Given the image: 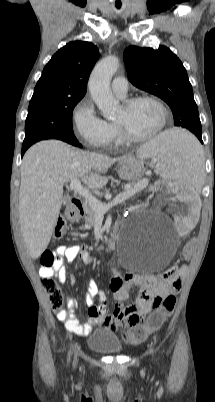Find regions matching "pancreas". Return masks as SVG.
<instances>
[{"mask_svg": "<svg viewBox=\"0 0 215 402\" xmlns=\"http://www.w3.org/2000/svg\"><path fill=\"white\" fill-rule=\"evenodd\" d=\"M138 183H139V182H132V183H130V184H129L130 189L135 188V186H136ZM140 190H141V189H139L138 191H140ZM138 191H137V192H138ZM96 216H97V215L95 214V212L93 211V209H92L90 206H88V207L86 208V216H85V225H86L87 228H91V227L94 225Z\"/></svg>", "mask_w": 215, "mask_h": 402, "instance_id": "obj_1", "label": "pancreas"}]
</instances>
